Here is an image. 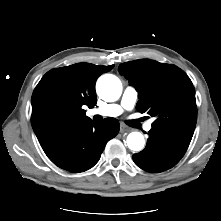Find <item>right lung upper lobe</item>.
Returning a JSON list of instances; mask_svg holds the SVG:
<instances>
[{"label":"right lung upper lobe","mask_w":221,"mask_h":221,"mask_svg":"<svg viewBox=\"0 0 221 221\" xmlns=\"http://www.w3.org/2000/svg\"><path fill=\"white\" fill-rule=\"evenodd\" d=\"M113 67L77 63L42 77L31 98V123L40 145L70 125L91 120L83 108L96 105V80Z\"/></svg>","instance_id":"cb5924a9"}]
</instances>
